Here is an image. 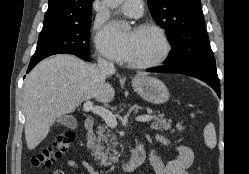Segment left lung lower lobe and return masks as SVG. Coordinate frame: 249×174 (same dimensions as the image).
<instances>
[{
  "mask_svg": "<svg viewBox=\"0 0 249 174\" xmlns=\"http://www.w3.org/2000/svg\"><path fill=\"white\" fill-rule=\"evenodd\" d=\"M147 71L161 73H179L198 78L212 87L220 97V82L217 75L215 63H196L186 65L181 68H172L165 65L161 68L147 69Z\"/></svg>",
  "mask_w": 249,
  "mask_h": 174,
  "instance_id": "obj_1",
  "label": "left lung lower lobe"
}]
</instances>
